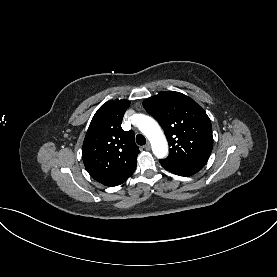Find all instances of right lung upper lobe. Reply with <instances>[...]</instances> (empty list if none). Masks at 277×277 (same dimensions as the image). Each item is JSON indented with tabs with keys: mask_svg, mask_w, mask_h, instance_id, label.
<instances>
[{
	"mask_svg": "<svg viewBox=\"0 0 277 277\" xmlns=\"http://www.w3.org/2000/svg\"><path fill=\"white\" fill-rule=\"evenodd\" d=\"M130 106L128 100H110L95 113L86 133L82 159L96 181L109 187L125 182L134 172L137 155L134 133L121 122Z\"/></svg>",
	"mask_w": 277,
	"mask_h": 277,
	"instance_id": "right-lung-upper-lobe-1",
	"label": "right lung upper lobe"
}]
</instances>
